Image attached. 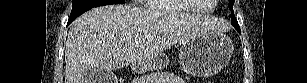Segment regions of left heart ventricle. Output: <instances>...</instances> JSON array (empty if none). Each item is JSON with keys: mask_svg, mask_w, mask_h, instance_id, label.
<instances>
[{"mask_svg": "<svg viewBox=\"0 0 307 83\" xmlns=\"http://www.w3.org/2000/svg\"><path fill=\"white\" fill-rule=\"evenodd\" d=\"M194 3H197V5H198V7L200 8V9H202V10H208L209 8H210V5H206V4H204V5H199L198 3H201V1L199 0V1H193ZM203 3V2H202Z\"/></svg>", "mask_w": 307, "mask_h": 83, "instance_id": "obj_1", "label": "left heart ventricle"}]
</instances>
